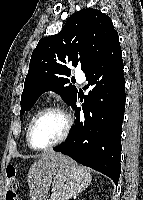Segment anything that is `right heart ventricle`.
Returning a JSON list of instances; mask_svg holds the SVG:
<instances>
[{
	"label": "right heart ventricle",
	"mask_w": 143,
	"mask_h": 200,
	"mask_svg": "<svg viewBox=\"0 0 143 200\" xmlns=\"http://www.w3.org/2000/svg\"><path fill=\"white\" fill-rule=\"evenodd\" d=\"M39 111H37V112H35L34 114H33V116L30 118V120H29V122H28V125H29V123L31 122V120L34 118V116L38 113ZM28 125H27V128H28Z\"/></svg>",
	"instance_id": "1"
}]
</instances>
